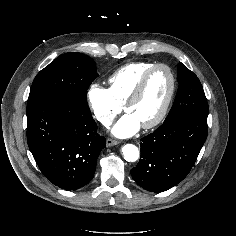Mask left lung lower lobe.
<instances>
[{"label":"left lung lower lobe","mask_w":236,"mask_h":236,"mask_svg":"<svg viewBox=\"0 0 236 236\" xmlns=\"http://www.w3.org/2000/svg\"><path fill=\"white\" fill-rule=\"evenodd\" d=\"M207 118L179 116L141 139V156L131 169L134 181L150 192L181 182L193 167L207 138Z\"/></svg>","instance_id":"1"}]
</instances>
